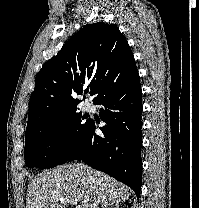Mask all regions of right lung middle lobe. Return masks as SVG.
<instances>
[{"label": "right lung middle lobe", "instance_id": "right-lung-middle-lobe-1", "mask_svg": "<svg viewBox=\"0 0 199 208\" xmlns=\"http://www.w3.org/2000/svg\"><path fill=\"white\" fill-rule=\"evenodd\" d=\"M77 110L25 134V164L41 169L64 164L77 149L90 120Z\"/></svg>", "mask_w": 199, "mask_h": 208}]
</instances>
